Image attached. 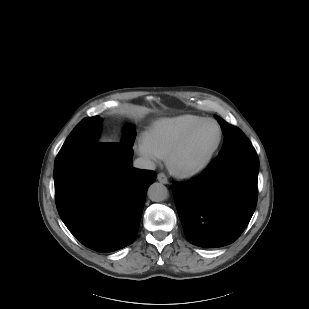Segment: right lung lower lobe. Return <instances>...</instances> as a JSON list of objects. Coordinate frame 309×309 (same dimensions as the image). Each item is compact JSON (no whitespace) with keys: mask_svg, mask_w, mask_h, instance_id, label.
Masks as SVG:
<instances>
[{"mask_svg":"<svg viewBox=\"0 0 309 309\" xmlns=\"http://www.w3.org/2000/svg\"><path fill=\"white\" fill-rule=\"evenodd\" d=\"M90 154L96 165L86 161ZM126 143H90L54 167L55 200L69 231L86 247L112 252L133 243L156 174L132 168Z\"/></svg>","mask_w":309,"mask_h":309,"instance_id":"98d812e1","label":"right lung lower lobe"}]
</instances>
